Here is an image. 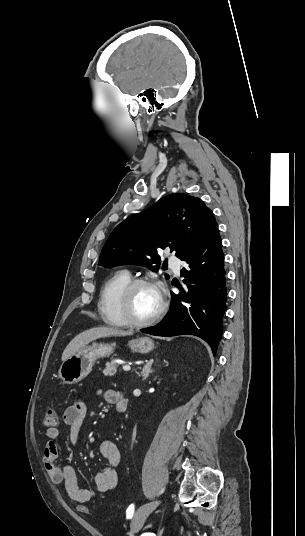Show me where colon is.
Here are the masks:
<instances>
[{
  "label": "colon",
  "mask_w": 305,
  "mask_h": 536,
  "mask_svg": "<svg viewBox=\"0 0 305 536\" xmlns=\"http://www.w3.org/2000/svg\"><path fill=\"white\" fill-rule=\"evenodd\" d=\"M56 418H57L56 411L52 408L48 409L43 418L44 426L46 427L55 426L57 422ZM76 509L78 512L83 513L88 509V506L85 503L80 502L77 504Z\"/></svg>",
  "instance_id": "5ec220e1"
}]
</instances>
